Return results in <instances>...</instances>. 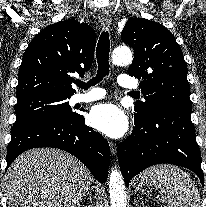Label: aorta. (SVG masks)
<instances>
[{
  "mask_svg": "<svg viewBox=\"0 0 206 207\" xmlns=\"http://www.w3.org/2000/svg\"><path fill=\"white\" fill-rule=\"evenodd\" d=\"M132 61V53L128 47H118L113 51L112 62L115 65H127ZM110 204L111 207H126L127 198L122 175L117 169L110 173Z\"/></svg>",
  "mask_w": 206,
  "mask_h": 207,
  "instance_id": "1",
  "label": "aorta"
}]
</instances>
